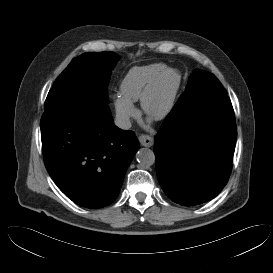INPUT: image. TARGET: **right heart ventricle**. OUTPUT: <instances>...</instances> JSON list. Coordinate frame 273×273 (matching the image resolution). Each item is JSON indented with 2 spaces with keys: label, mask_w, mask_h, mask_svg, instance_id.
Returning a JSON list of instances; mask_svg holds the SVG:
<instances>
[{
  "label": "right heart ventricle",
  "mask_w": 273,
  "mask_h": 273,
  "mask_svg": "<svg viewBox=\"0 0 273 273\" xmlns=\"http://www.w3.org/2000/svg\"><path fill=\"white\" fill-rule=\"evenodd\" d=\"M164 69L165 66L161 63H151L133 68L121 84L122 97L132 103L138 101L144 90Z\"/></svg>",
  "instance_id": "right-heart-ventricle-1"
}]
</instances>
